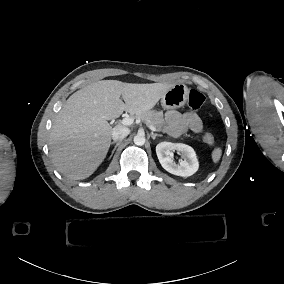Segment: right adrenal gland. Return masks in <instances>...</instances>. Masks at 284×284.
<instances>
[{
  "label": "right adrenal gland",
  "instance_id": "obj_1",
  "mask_svg": "<svg viewBox=\"0 0 284 284\" xmlns=\"http://www.w3.org/2000/svg\"><path fill=\"white\" fill-rule=\"evenodd\" d=\"M121 142H122V141H119V142L114 141V142L111 143V145H114V144H116V145H115V147H114V149H113V151H112V153H111L109 159L112 158V156L114 155V153H115L117 147L121 144Z\"/></svg>",
  "mask_w": 284,
  "mask_h": 284
}]
</instances>
